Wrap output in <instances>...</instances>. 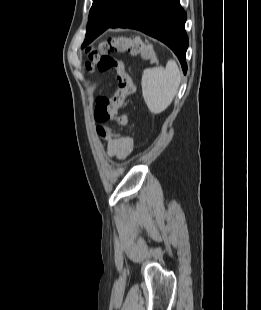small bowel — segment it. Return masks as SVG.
Wrapping results in <instances>:
<instances>
[{"instance_id":"c3829d8e","label":"small bowel","mask_w":261,"mask_h":310,"mask_svg":"<svg viewBox=\"0 0 261 310\" xmlns=\"http://www.w3.org/2000/svg\"><path fill=\"white\" fill-rule=\"evenodd\" d=\"M133 142L128 137H108L107 150L111 156L125 158L132 151Z\"/></svg>"}]
</instances>
